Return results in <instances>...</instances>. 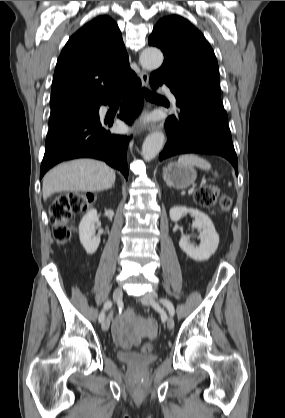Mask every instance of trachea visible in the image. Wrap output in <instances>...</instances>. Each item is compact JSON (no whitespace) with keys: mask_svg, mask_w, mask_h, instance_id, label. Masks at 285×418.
<instances>
[{"mask_svg":"<svg viewBox=\"0 0 285 418\" xmlns=\"http://www.w3.org/2000/svg\"><path fill=\"white\" fill-rule=\"evenodd\" d=\"M142 91H143V94H144L145 98H160L159 95L151 93L146 88H143Z\"/></svg>","mask_w":285,"mask_h":418,"instance_id":"1","label":"trachea"}]
</instances>
